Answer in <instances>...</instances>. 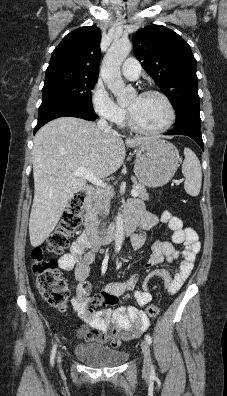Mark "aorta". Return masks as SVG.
Returning <instances> with one entry per match:
<instances>
[{"instance_id":"1","label":"aorta","mask_w":227,"mask_h":396,"mask_svg":"<svg viewBox=\"0 0 227 396\" xmlns=\"http://www.w3.org/2000/svg\"><path fill=\"white\" fill-rule=\"evenodd\" d=\"M129 40H115L108 49L102 63L101 76L108 89L117 97L119 103L129 99L128 90L122 80L120 67L130 53ZM124 241V221L122 214L116 216L115 249L119 251Z\"/></svg>"}]
</instances>
